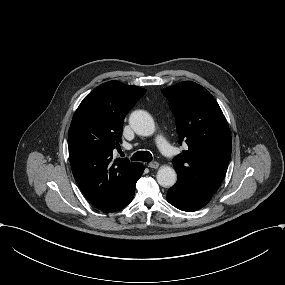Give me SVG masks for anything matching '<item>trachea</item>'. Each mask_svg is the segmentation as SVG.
I'll return each instance as SVG.
<instances>
[{"mask_svg": "<svg viewBox=\"0 0 285 285\" xmlns=\"http://www.w3.org/2000/svg\"><path fill=\"white\" fill-rule=\"evenodd\" d=\"M121 156H124V153H121ZM132 161H144V162H151L152 161V154L148 151H138L131 157Z\"/></svg>", "mask_w": 285, "mask_h": 285, "instance_id": "1", "label": "trachea"}]
</instances>
